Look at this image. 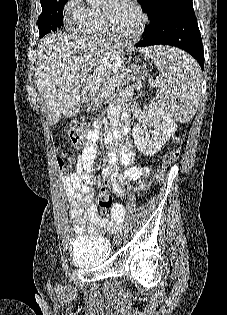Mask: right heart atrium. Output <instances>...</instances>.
Returning <instances> with one entry per match:
<instances>
[{"mask_svg": "<svg viewBox=\"0 0 227 315\" xmlns=\"http://www.w3.org/2000/svg\"><path fill=\"white\" fill-rule=\"evenodd\" d=\"M88 8L82 0H67L64 4L63 11L69 21H79L86 14Z\"/></svg>", "mask_w": 227, "mask_h": 315, "instance_id": "obj_1", "label": "right heart atrium"}]
</instances>
